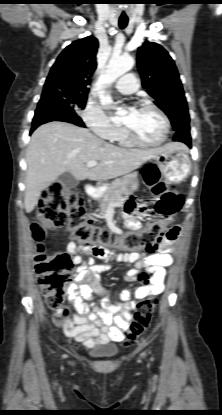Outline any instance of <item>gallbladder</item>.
I'll return each instance as SVG.
<instances>
[{
  "mask_svg": "<svg viewBox=\"0 0 222 415\" xmlns=\"http://www.w3.org/2000/svg\"><path fill=\"white\" fill-rule=\"evenodd\" d=\"M58 183L67 188H74L78 185L79 181L70 173L65 172L58 177Z\"/></svg>",
  "mask_w": 222,
  "mask_h": 415,
  "instance_id": "bac80fb5",
  "label": "gallbladder"
}]
</instances>
